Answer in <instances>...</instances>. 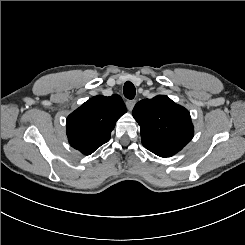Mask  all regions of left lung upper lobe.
Instances as JSON below:
<instances>
[{
	"mask_svg": "<svg viewBox=\"0 0 245 245\" xmlns=\"http://www.w3.org/2000/svg\"><path fill=\"white\" fill-rule=\"evenodd\" d=\"M132 114L140 125L143 146L160 157L178 153L193 137L189 111L165 95L141 100Z\"/></svg>",
	"mask_w": 245,
	"mask_h": 245,
	"instance_id": "1",
	"label": "left lung upper lobe"
}]
</instances>
